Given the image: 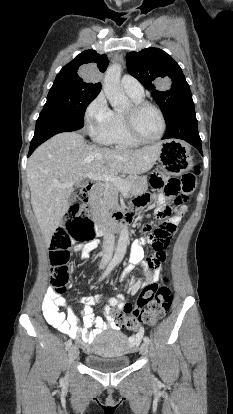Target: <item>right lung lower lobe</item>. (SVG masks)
Returning <instances> with one entry per match:
<instances>
[{
    "mask_svg": "<svg viewBox=\"0 0 233 414\" xmlns=\"http://www.w3.org/2000/svg\"><path fill=\"white\" fill-rule=\"evenodd\" d=\"M84 126V120L53 109H43L36 121L34 137L28 156L44 141L61 132H71Z\"/></svg>",
    "mask_w": 233,
    "mask_h": 414,
    "instance_id": "98d812e1",
    "label": "right lung lower lobe"
}]
</instances>
